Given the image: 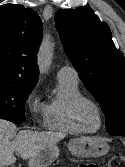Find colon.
<instances>
[{
  "label": "colon",
  "mask_w": 125,
  "mask_h": 167,
  "mask_svg": "<svg viewBox=\"0 0 125 167\" xmlns=\"http://www.w3.org/2000/svg\"><path fill=\"white\" fill-rule=\"evenodd\" d=\"M80 167H99L97 165H81ZM108 167H125V156L117 154L110 158Z\"/></svg>",
  "instance_id": "1"
}]
</instances>
